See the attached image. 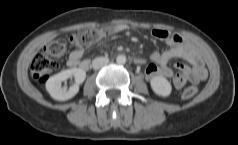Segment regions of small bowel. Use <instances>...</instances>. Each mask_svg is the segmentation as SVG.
<instances>
[{
	"instance_id": "obj_1",
	"label": "small bowel",
	"mask_w": 238,
	"mask_h": 145,
	"mask_svg": "<svg viewBox=\"0 0 238 145\" xmlns=\"http://www.w3.org/2000/svg\"><path fill=\"white\" fill-rule=\"evenodd\" d=\"M128 29L125 24H117L114 26L110 33L116 34ZM153 36L157 39L164 40L170 44V48L159 53L153 52L151 54V63L147 65L145 74L148 79L156 76H162L171 79L173 86L177 89L182 88L188 81L193 84H198L207 77V70L204 66L200 54L180 35L171 33L162 29H154ZM83 50L74 49L68 56L67 65L71 68L79 67L86 71L90 68V61L82 59ZM175 58H181L192 65L188 68L183 63H176L175 67L180 73H174L168 66L169 62ZM139 64H143L145 60L138 58Z\"/></svg>"
}]
</instances>
